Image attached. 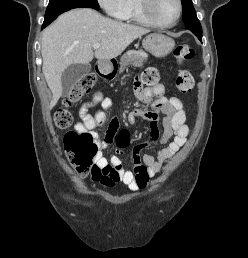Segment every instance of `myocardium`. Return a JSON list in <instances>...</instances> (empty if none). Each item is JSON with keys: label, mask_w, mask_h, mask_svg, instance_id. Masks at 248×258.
<instances>
[{"label": "myocardium", "mask_w": 248, "mask_h": 258, "mask_svg": "<svg viewBox=\"0 0 248 258\" xmlns=\"http://www.w3.org/2000/svg\"><path fill=\"white\" fill-rule=\"evenodd\" d=\"M177 6H178V11L175 19L170 22V23H162L159 20L155 18V16L152 13V3L153 0H140V7L143 16L146 18V20L153 26L160 27V28H169L174 25L179 21L181 15H182V1L181 0H176Z\"/></svg>", "instance_id": "f54148a6"}]
</instances>
